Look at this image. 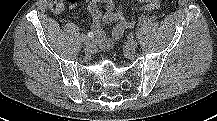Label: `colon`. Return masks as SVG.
Instances as JSON below:
<instances>
[{"label": "colon", "mask_w": 217, "mask_h": 121, "mask_svg": "<svg viewBox=\"0 0 217 121\" xmlns=\"http://www.w3.org/2000/svg\"><path fill=\"white\" fill-rule=\"evenodd\" d=\"M72 2H74V0H52L50 3V9L55 13H60Z\"/></svg>", "instance_id": "obj_1"}]
</instances>
